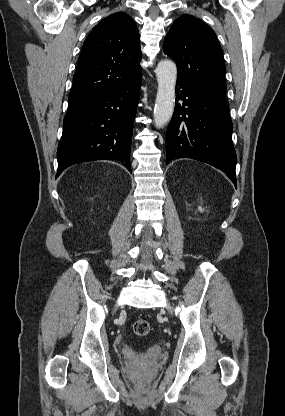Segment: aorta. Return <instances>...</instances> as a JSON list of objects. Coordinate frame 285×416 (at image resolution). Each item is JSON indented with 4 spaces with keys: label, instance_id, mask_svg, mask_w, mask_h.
<instances>
[{
    "label": "aorta",
    "instance_id": "1",
    "mask_svg": "<svg viewBox=\"0 0 285 416\" xmlns=\"http://www.w3.org/2000/svg\"><path fill=\"white\" fill-rule=\"evenodd\" d=\"M158 82L154 109V121L157 128H163L171 119L175 103L177 67L170 60H162L156 68Z\"/></svg>",
    "mask_w": 285,
    "mask_h": 416
}]
</instances>
